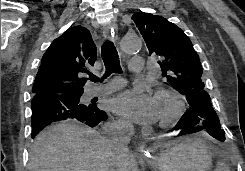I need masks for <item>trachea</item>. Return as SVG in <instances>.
Segmentation results:
<instances>
[{"label": "trachea", "mask_w": 245, "mask_h": 171, "mask_svg": "<svg viewBox=\"0 0 245 171\" xmlns=\"http://www.w3.org/2000/svg\"><path fill=\"white\" fill-rule=\"evenodd\" d=\"M102 59L106 68L105 75L102 80L112 73H121V66L117 50L111 41H105L101 48ZM93 82L99 81V78L93 74L89 76ZM101 82V80H100Z\"/></svg>", "instance_id": "3493384b"}]
</instances>
